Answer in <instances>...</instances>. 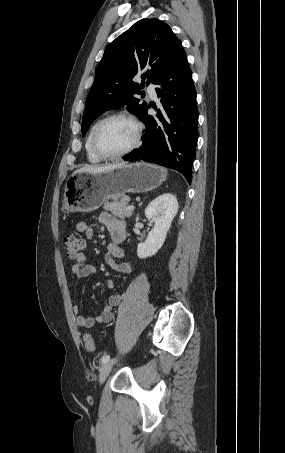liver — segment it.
Wrapping results in <instances>:
<instances>
[{
    "label": "liver",
    "mask_w": 285,
    "mask_h": 453,
    "mask_svg": "<svg viewBox=\"0 0 285 453\" xmlns=\"http://www.w3.org/2000/svg\"><path fill=\"white\" fill-rule=\"evenodd\" d=\"M124 164H125V162H122V163H119V164H111V165H107V166H101V167L86 166V167L79 168L74 173H81V172L98 173V172H102V171H106V170H110V169L122 166Z\"/></svg>",
    "instance_id": "1"
}]
</instances>
